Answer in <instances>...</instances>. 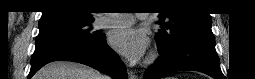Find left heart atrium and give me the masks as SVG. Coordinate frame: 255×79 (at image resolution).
Listing matches in <instances>:
<instances>
[{"label":"left heart atrium","instance_id":"left-heart-atrium-1","mask_svg":"<svg viewBox=\"0 0 255 79\" xmlns=\"http://www.w3.org/2000/svg\"><path fill=\"white\" fill-rule=\"evenodd\" d=\"M110 45L131 62L141 60L148 46L146 35L133 28L116 29L111 33Z\"/></svg>","mask_w":255,"mask_h":79}]
</instances>
